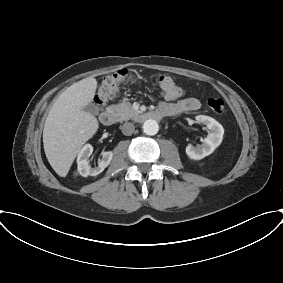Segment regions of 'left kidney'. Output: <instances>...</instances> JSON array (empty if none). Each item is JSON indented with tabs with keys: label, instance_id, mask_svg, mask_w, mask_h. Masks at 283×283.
Returning <instances> with one entry per match:
<instances>
[{
	"label": "left kidney",
	"instance_id": "1",
	"mask_svg": "<svg viewBox=\"0 0 283 283\" xmlns=\"http://www.w3.org/2000/svg\"><path fill=\"white\" fill-rule=\"evenodd\" d=\"M196 120L207 126L209 129L208 136L203 140V144L197 147L189 144L186 147V154L190 159L201 160L204 157L212 154L215 149L221 144L224 135V129L222 125L215 119L205 116L198 115Z\"/></svg>",
	"mask_w": 283,
	"mask_h": 283
}]
</instances>
